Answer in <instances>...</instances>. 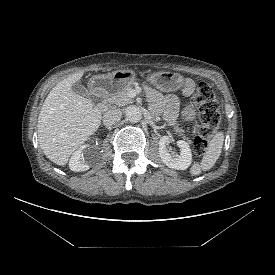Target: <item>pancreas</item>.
Masks as SVG:
<instances>
[{
    "label": "pancreas",
    "mask_w": 275,
    "mask_h": 275,
    "mask_svg": "<svg viewBox=\"0 0 275 275\" xmlns=\"http://www.w3.org/2000/svg\"><path fill=\"white\" fill-rule=\"evenodd\" d=\"M132 90V87L131 86H126V87H123L122 89H120L119 91H117L116 93L114 94H111L109 97H108V102L110 104H114V105H117V106H124L126 105L127 103L131 102V98L129 97V93L130 91ZM175 131L181 135L183 137L184 140H187L189 143H191V140L189 139V137H187L185 134H184V130L182 128H175Z\"/></svg>",
    "instance_id": "1"
}]
</instances>
